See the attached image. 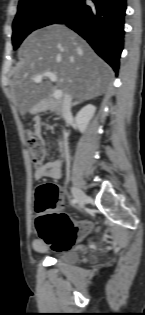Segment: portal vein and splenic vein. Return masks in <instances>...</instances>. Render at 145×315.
Here are the masks:
<instances>
[{"mask_svg": "<svg viewBox=\"0 0 145 315\" xmlns=\"http://www.w3.org/2000/svg\"><path fill=\"white\" fill-rule=\"evenodd\" d=\"M43 77H48L53 82H55L57 80L56 75L52 72H44V73L38 74L33 78V80H34V82L39 83L42 81ZM62 95H63V92L61 89H57L53 93V97L55 99H60L62 97Z\"/></svg>", "mask_w": 145, "mask_h": 315, "instance_id": "1", "label": "portal vein and splenic vein"}]
</instances>
